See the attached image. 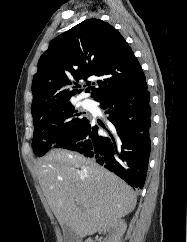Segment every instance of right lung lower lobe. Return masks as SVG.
I'll list each match as a JSON object with an SVG mask.
<instances>
[{"mask_svg":"<svg viewBox=\"0 0 187 242\" xmlns=\"http://www.w3.org/2000/svg\"><path fill=\"white\" fill-rule=\"evenodd\" d=\"M98 102L111 123L109 136L86 120L72 135L53 147L77 151L114 172L130 186L142 189L151 149L150 93L146 79L111 92Z\"/></svg>","mask_w":187,"mask_h":242,"instance_id":"1","label":"right lung lower lobe"}]
</instances>
